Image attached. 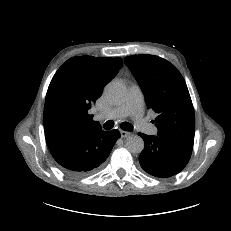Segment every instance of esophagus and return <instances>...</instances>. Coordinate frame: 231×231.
<instances>
[{
	"label": "esophagus",
	"instance_id": "1",
	"mask_svg": "<svg viewBox=\"0 0 231 231\" xmlns=\"http://www.w3.org/2000/svg\"><path fill=\"white\" fill-rule=\"evenodd\" d=\"M120 134H121L122 138H126V137L131 135L130 132H127V131H124V130H120Z\"/></svg>",
	"mask_w": 231,
	"mask_h": 231
}]
</instances>
